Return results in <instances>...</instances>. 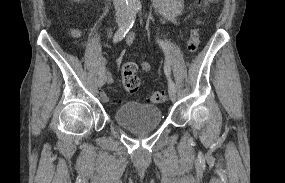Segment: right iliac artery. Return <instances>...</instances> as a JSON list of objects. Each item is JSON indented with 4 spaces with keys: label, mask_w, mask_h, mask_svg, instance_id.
<instances>
[{
    "label": "right iliac artery",
    "mask_w": 285,
    "mask_h": 183,
    "mask_svg": "<svg viewBox=\"0 0 285 183\" xmlns=\"http://www.w3.org/2000/svg\"><path fill=\"white\" fill-rule=\"evenodd\" d=\"M135 18H136V9H129V13H128V18L127 21L124 23V25H122L115 33L114 37H113V42H119L121 41L125 35L128 33V31L132 28L134 22H135ZM104 69L102 67L99 68V75H103L104 74Z\"/></svg>",
    "instance_id": "1"
}]
</instances>
